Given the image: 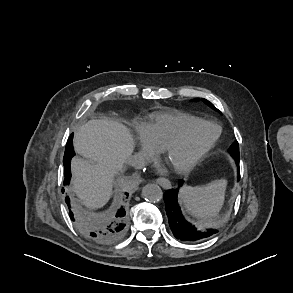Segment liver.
<instances>
[{
    "label": "liver",
    "mask_w": 293,
    "mask_h": 293,
    "mask_svg": "<svg viewBox=\"0 0 293 293\" xmlns=\"http://www.w3.org/2000/svg\"><path fill=\"white\" fill-rule=\"evenodd\" d=\"M73 145L81 157L71 161L72 191L89 208H100L110 199L113 178L134 149L129 130L110 119L90 120L74 135Z\"/></svg>",
    "instance_id": "liver-1"
}]
</instances>
